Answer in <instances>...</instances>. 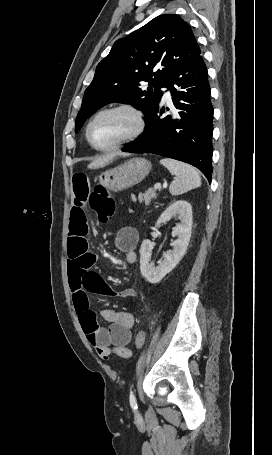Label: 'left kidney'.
<instances>
[{
    "mask_svg": "<svg viewBox=\"0 0 272 455\" xmlns=\"http://www.w3.org/2000/svg\"><path fill=\"white\" fill-rule=\"evenodd\" d=\"M173 216H177L181 221L172 232V236L178 238L171 243L173 250L165 254L164 259L159 261L157 267L150 262L153 243L146 239L140 248V271L145 279L152 284L160 282L166 274L175 268L184 256L190 241L192 229V207L190 203L179 200L171 204L161 214L156 226L159 227L162 223L168 222Z\"/></svg>",
    "mask_w": 272,
    "mask_h": 455,
    "instance_id": "obj_1",
    "label": "left kidney"
}]
</instances>
